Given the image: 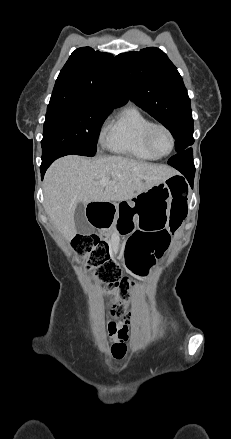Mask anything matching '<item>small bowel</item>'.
Listing matches in <instances>:
<instances>
[{"mask_svg":"<svg viewBox=\"0 0 231 439\" xmlns=\"http://www.w3.org/2000/svg\"><path fill=\"white\" fill-rule=\"evenodd\" d=\"M137 234L144 237L140 245V254L136 256L133 253L130 242L127 244V255L132 266L140 267L147 273L156 263V261L163 256L169 247L171 237L175 232L169 226H163L153 230L139 229ZM132 236L130 239H132ZM130 241V240H129ZM109 334L113 340L112 355L115 358H122L126 353V344L128 330L127 327L115 321L107 323Z\"/></svg>","mask_w":231,"mask_h":439,"instance_id":"small-bowel-1","label":"small bowel"}]
</instances>
